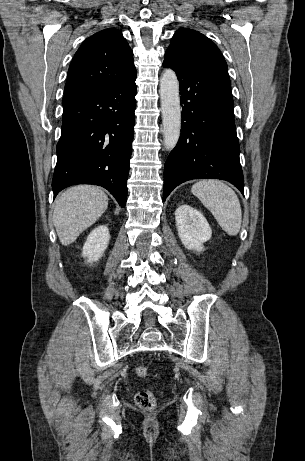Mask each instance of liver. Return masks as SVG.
I'll return each mask as SVG.
<instances>
[{
    "mask_svg": "<svg viewBox=\"0 0 305 461\" xmlns=\"http://www.w3.org/2000/svg\"><path fill=\"white\" fill-rule=\"evenodd\" d=\"M108 207L107 195L95 186L78 185L56 200L53 223L62 245L68 246L94 224Z\"/></svg>",
    "mask_w": 305,
    "mask_h": 461,
    "instance_id": "6515ba94",
    "label": "liver"
}]
</instances>
